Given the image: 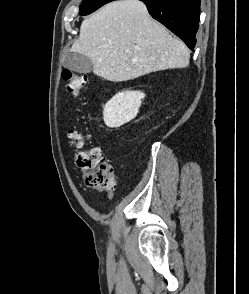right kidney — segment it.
Masks as SVG:
<instances>
[{
	"label": "right kidney",
	"mask_w": 249,
	"mask_h": 294,
	"mask_svg": "<svg viewBox=\"0 0 249 294\" xmlns=\"http://www.w3.org/2000/svg\"><path fill=\"white\" fill-rule=\"evenodd\" d=\"M145 94L141 91H124L116 94L104 107L103 119L110 128H118L134 119Z\"/></svg>",
	"instance_id": "right-kidney-1"
}]
</instances>
